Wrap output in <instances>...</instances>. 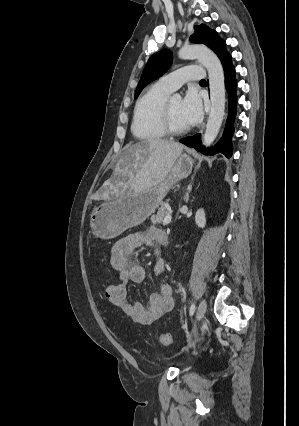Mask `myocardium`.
Instances as JSON below:
<instances>
[{
	"instance_id": "1",
	"label": "myocardium",
	"mask_w": 299,
	"mask_h": 426,
	"mask_svg": "<svg viewBox=\"0 0 299 426\" xmlns=\"http://www.w3.org/2000/svg\"><path fill=\"white\" fill-rule=\"evenodd\" d=\"M160 122L164 132L168 135H181L188 131V126L176 127L171 120L170 99H167L161 109Z\"/></svg>"
}]
</instances>
